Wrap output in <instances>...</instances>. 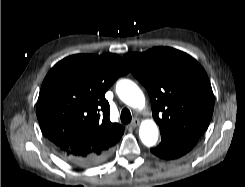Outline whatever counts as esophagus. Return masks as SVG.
<instances>
[{
    "label": "esophagus",
    "mask_w": 245,
    "mask_h": 187,
    "mask_svg": "<svg viewBox=\"0 0 245 187\" xmlns=\"http://www.w3.org/2000/svg\"><path fill=\"white\" fill-rule=\"evenodd\" d=\"M139 124H140V120L137 119V118H135V119L130 123V127L136 128V127L139 126Z\"/></svg>",
    "instance_id": "34e87169"
}]
</instances>
